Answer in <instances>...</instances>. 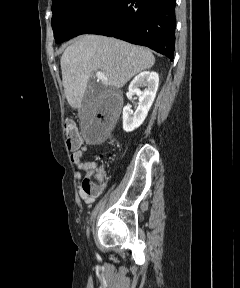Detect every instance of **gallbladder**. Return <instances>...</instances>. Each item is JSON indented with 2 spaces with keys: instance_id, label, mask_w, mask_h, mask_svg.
<instances>
[{
  "instance_id": "bac80fb5",
  "label": "gallbladder",
  "mask_w": 240,
  "mask_h": 288,
  "mask_svg": "<svg viewBox=\"0 0 240 288\" xmlns=\"http://www.w3.org/2000/svg\"><path fill=\"white\" fill-rule=\"evenodd\" d=\"M112 111L113 108L105 88L96 86L94 90L88 89L80 111L83 120L93 118L96 114L109 117Z\"/></svg>"
}]
</instances>
